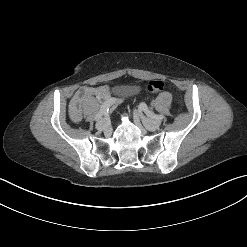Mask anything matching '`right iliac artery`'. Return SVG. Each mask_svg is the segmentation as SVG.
<instances>
[{
    "label": "right iliac artery",
    "instance_id": "obj_1",
    "mask_svg": "<svg viewBox=\"0 0 247 247\" xmlns=\"http://www.w3.org/2000/svg\"><path fill=\"white\" fill-rule=\"evenodd\" d=\"M117 102L116 98H109L107 99L101 106L99 112L96 114L94 120L99 121L102 119L104 115H106L109 112V109L111 106H113Z\"/></svg>",
    "mask_w": 247,
    "mask_h": 247
}]
</instances>
